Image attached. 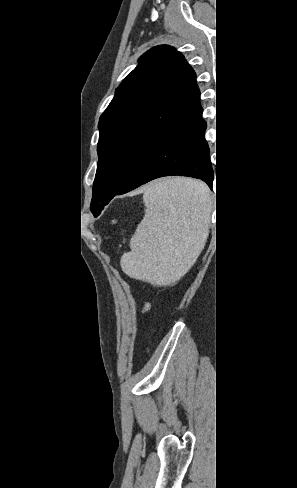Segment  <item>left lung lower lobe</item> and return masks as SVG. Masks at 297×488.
Segmentation results:
<instances>
[{
	"mask_svg": "<svg viewBox=\"0 0 297 488\" xmlns=\"http://www.w3.org/2000/svg\"><path fill=\"white\" fill-rule=\"evenodd\" d=\"M201 115L176 131L156 149L116 195L127 193L153 179L171 175L201 179L212 189L214 172L204 138L206 122Z\"/></svg>",
	"mask_w": 297,
	"mask_h": 488,
	"instance_id": "left-lung-lower-lobe-1",
	"label": "left lung lower lobe"
}]
</instances>
